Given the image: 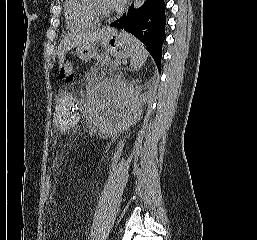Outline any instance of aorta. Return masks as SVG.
Instances as JSON below:
<instances>
[{
  "instance_id": "762f6f07",
  "label": "aorta",
  "mask_w": 257,
  "mask_h": 240,
  "mask_svg": "<svg viewBox=\"0 0 257 240\" xmlns=\"http://www.w3.org/2000/svg\"><path fill=\"white\" fill-rule=\"evenodd\" d=\"M144 2L145 0H134V7L139 8Z\"/></svg>"
}]
</instances>
